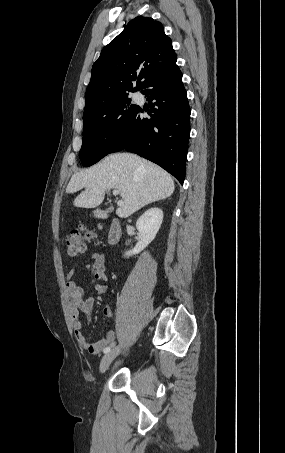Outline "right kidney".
Instances as JSON below:
<instances>
[{"instance_id": "right-kidney-1", "label": "right kidney", "mask_w": 285, "mask_h": 453, "mask_svg": "<svg viewBox=\"0 0 285 453\" xmlns=\"http://www.w3.org/2000/svg\"><path fill=\"white\" fill-rule=\"evenodd\" d=\"M162 221L163 211L160 208L154 207L145 211L136 222L141 238L132 250L125 252V256L129 258L146 248L154 240Z\"/></svg>"}]
</instances>
